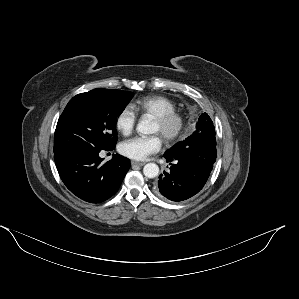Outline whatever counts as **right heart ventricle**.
<instances>
[{"label":"right heart ventricle","instance_id":"e07e8e85","mask_svg":"<svg viewBox=\"0 0 299 299\" xmlns=\"http://www.w3.org/2000/svg\"><path fill=\"white\" fill-rule=\"evenodd\" d=\"M132 108L142 116L155 118L162 114L176 111L177 103L167 96L154 94L137 99L132 104Z\"/></svg>","mask_w":299,"mask_h":299}]
</instances>
